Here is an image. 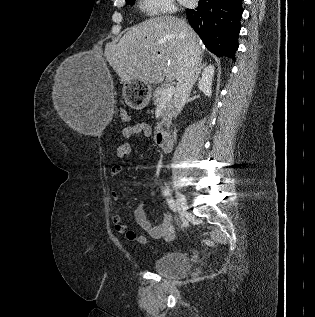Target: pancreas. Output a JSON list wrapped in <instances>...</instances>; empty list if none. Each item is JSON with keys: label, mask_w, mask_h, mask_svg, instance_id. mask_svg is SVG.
<instances>
[{"label": "pancreas", "mask_w": 315, "mask_h": 317, "mask_svg": "<svg viewBox=\"0 0 315 317\" xmlns=\"http://www.w3.org/2000/svg\"><path fill=\"white\" fill-rule=\"evenodd\" d=\"M166 89V86H161L155 89L153 93V102L156 106L162 103L163 91ZM171 107H172V100L165 101L163 111H162V123L169 122V117L171 115Z\"/></svg>", "instance_id": "cf45deb5"}]
</instances>
